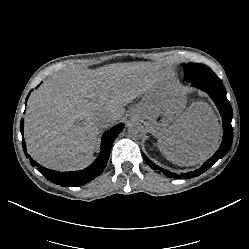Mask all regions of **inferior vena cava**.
I'll return each instance as SVG.
<instances>
[{
  "mask_svg": "<svg viewBox=\"0 0 249 249\" xmlns=\"http://www.w3.org/2000/svg\"><path fill=\"white\" fill-rule=\"evenodd\" d=\"M111 120H112L111 117L106 115V114H103V115L99 116L98 119H97L99 128L103 129V128L109 126V123H110ZM139 126L143 127L141 124H138V125H135V128H137Z\"/></svg>",
  "mask_w": 249,
  "mask_h": 249,
  "instance_id": "1",
  "label": "inferior vena cava"
}]
</instances>
